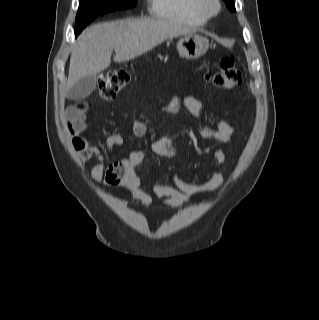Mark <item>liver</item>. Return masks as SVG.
<instances>
[{"instance_id": "6515ba94", "label": "liver", "mask_w": 319, "mask_h": 320, "mask_svg": "<svg viewBox=\"0 0 319 320\" xmlns=\"http://www.w3.org/2000/svg\"><path fill=\"white\" fill-rule=\"evenodd\" d=\"M184 25L152 18L123 19L86 28L71 53L66 91L82 78L97 75L114 61L124 62L147 53L168 38L193 34Z\"/></svg>"}]
</instances>
